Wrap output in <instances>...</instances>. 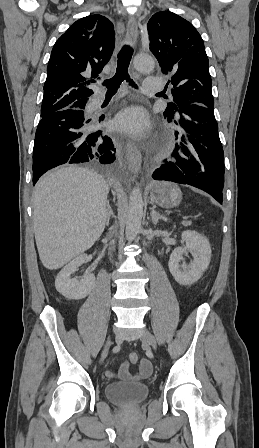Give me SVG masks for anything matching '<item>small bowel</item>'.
Instances as JSON below:
<instances>
[{
	"mask_svg": "<svg viewBox=\"0 0 259 448\" xmlns=\"http://www.w3.org/2000/svg\"><path fill=\"white\" fill-rule=\"evenodd\" d=\"M152 372V365L148 359H142L139 364V370L137 374L130 373L128 369V363L124 362L119 370L118 375L112 370H107L105 375L108 378H116L119 376L126 381H141L146 379Z\"/></svg>",
	"mask_w": 259,
	"mask_h": 448,
	"instance_id": "1",
	"label": "small bowel"
}]
</instances>
